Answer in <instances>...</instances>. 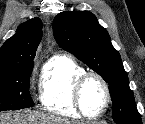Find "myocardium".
<instances>
[{
    "instance_id": "myocardium-1",
    "label": "myocardium",
    "mask_w": 145,
    "mask_h": 124,
    "mask_svg": "<svg viewBox=\"0 0 145 124\" xmlns=\"http://www.w3.org/2000/svg\"><path fill=\"white\" fill-rule=\"evenodd\" d=\"M91 79L98 81L101 84V86L103 87L104 92H105L104 105H103L102 109L96 114L86 113L84 110V107H83V102H82L83 89H84L86 83ZM73 100H74V104H75V107H76L78 113L82 117L87 118V119H98L106 113V111L111 103V91H110L109 84L100 74H98L96 72H86L85 71L74 82Z\"/></svg>"
}]
</instances>
